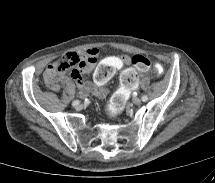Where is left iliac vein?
Masks as SVG:
<instances>
[{
    "mask_svg": "<svg viewBox=\"0 0 215 183\" xmlns=\"http://www.w3.org/2000/svg\"><path fill=\"white\" fill-rule=\"evenodd\" d=\"M141 102H142V100L140 98L133 99V103L136 104V105L141 104Z\"/></svg>",
    "mask_w": 215,
    "mask_h": 183,
    "instance_id": "4c4485c4",
    "label": "left iliac vein"
}]
</instances>
